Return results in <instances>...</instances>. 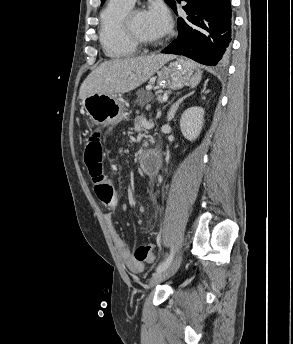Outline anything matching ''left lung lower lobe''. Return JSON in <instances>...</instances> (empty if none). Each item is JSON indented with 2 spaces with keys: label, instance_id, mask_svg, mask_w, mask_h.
<instances>
[{
  "label": "left lung lower lobe",
  "instance_id": "0a47b994",
  "mask_svg": "<svg viewBox=\"0 0 293 344\" xmlns=\"http://www.w3.org/2000/svg\"><path fill=\"white\" fill-rule=\"evenodd\" d=\"M185 1L188 17L178 18V37L161 53L183 55L209 66L223 64L231 42L230 0ZM172 9L177 14L176 2Z\"/></svg>",
  "mask_w": 293,
  "mask_h": 344
}]
</instances>
